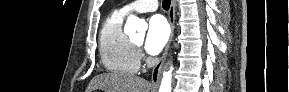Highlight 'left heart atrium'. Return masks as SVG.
<instances>
[{
    "instance_id": "left-heart-atrium-1",
    "label": "left heart atrium",
    "mask_w": 289,
    "mask_h": 92,
    "mask_svg": "<svg viewBox=\"0 0 289 92\" xmlns=\"http://www.w3.org/2000/svg\"><path fill=\"white\" fill-rule=\"evenodd\" d=\"M170 30L165 18L154 15L149 19L148 30L145 39V49L151 55H156L165 46L169 38Z\"/></svg>"
}]
</instances>
